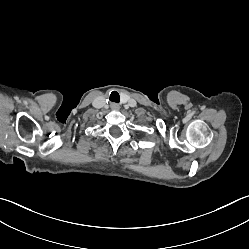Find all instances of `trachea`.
Here are the masks:
<instances>
[{"label": "trachea", "instance_id": "3493384b", "mask_svg": "<svg viewBox=\"0 0 249 249\" xmlns=\"http://www.w3.org/2000/svg\"><path fill=\"white\" fill-rule=\"evenodd\" d=\"M110 100L112 102H119V94L117 92H112L110 95Z\"/></svg>", "mask_w": 249, "mask_h": 249}]
</instances>
